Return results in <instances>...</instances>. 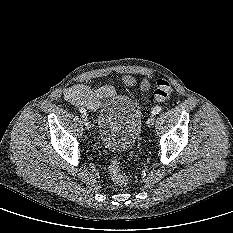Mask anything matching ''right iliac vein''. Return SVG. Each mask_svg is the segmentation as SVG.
<instances>
[{"mask_svg": "<svg viewBox=\"0 0 233 233\" xmlns=\"http://www.w3.org/2000/svg\"><path fill=\"white\" fill-rule=\"evenodd\" d=\"M84 124H85L87 129L91 128V122L89 121V119L87 117H84Z\"/></svg>", "mask_w": 233, "mask_h": 233, "instance_id": "right-iliac-vein-1", "label": "right iliac vein"}]
</instances>
